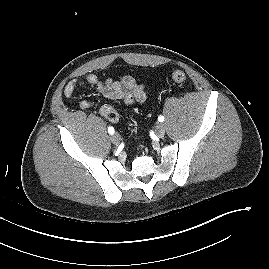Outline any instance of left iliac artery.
<instances>
[{
  "label": "left iliac artery",
  "instance_id": "44dca946",
  "mask_svg": "<svg viewBox=\"0 0 269 269\" xmlns=\"http://www.w3.org/2000/svg\"><path fill=\"white\" fill-rule=\"evenodd\" d=\"M158 120H159L160 122H163V121H164V116L160 115V116L158 117Z\"/></svg>",
  "mask_w": 269,
  "mask_h": 269
}]
</instances>
